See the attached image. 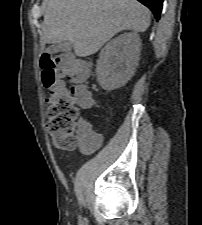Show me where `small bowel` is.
Wrapping results in <instances>:
<instances>
[{
	"label": "small bowel",
	"mask_w": 202,
	"mask_h": 225,
	"mask_svg": "<svg viewBox=\"0 0 202 225\" xmlns=\"http://www.w3.org/2000/svg\"><path fill=\"white\" fill-rule=\"evenodd\" d=\"M87 64H88V67H89L90 63H87ZM78 98H79V104H80L82 109L87 110V109H91V108L94 107V99L92 97L91 92L88 89H82L79 92ZM81 124H82V126H88V127H91V128L94 127L92 122L87 121V120H83L81 122ZM92 140H93V145L88 149L83 148V151H96L99 148H101L105 143L104 135L95 131V130L92 131Z\"/></svg>",
	"instance_id": "1"
}]
</instances>
